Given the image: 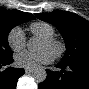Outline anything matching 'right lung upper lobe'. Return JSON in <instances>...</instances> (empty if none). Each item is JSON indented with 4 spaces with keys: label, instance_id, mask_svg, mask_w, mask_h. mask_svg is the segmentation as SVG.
I'll return each instance as SVG.
<instances>
[{
    "label": "right lung upper lobe",
    "instance_id": "cb5924a9",
    "mask_svg": "<svg viewBox=\"0 0 89 89\" xmlns=\"http://www.w3.org/2000/svg\"><path fill=\"white\" fill-rule=\"evenodd\" d=\"M0 14H8L18 19L24 20L25 22L35 19V17L31 13H25L19 10H6L1 8Z\"/></svg>",
    "mask_w": 89,
    "mask_h": 89
}]
</instances>
